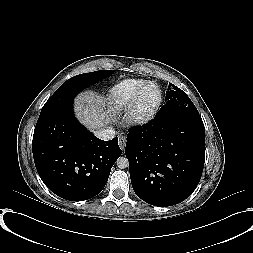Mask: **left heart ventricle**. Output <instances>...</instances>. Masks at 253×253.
<instances>
[{
	"label": "left heart ventricle",
	"instance_id": "b2bd125f",
	"mask_svg": "<svg viewBox=\"0 0 253 253\" xmlns=\"http://www.w3.org/2000/svg\"><path fill=\"white\" fill-rule=\"evenodd\" d=\"M159 100V91L158 89L151 85L146 88L142 96V108L144 111L150 110L154 107Z\"/></svg>",
	"mask_w": 253,
	"mask_h": 253
}]
</instances>
